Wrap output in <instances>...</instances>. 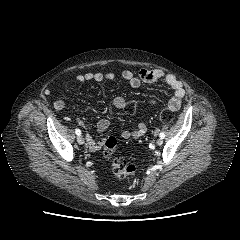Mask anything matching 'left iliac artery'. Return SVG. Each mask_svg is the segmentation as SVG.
Here are the masks:
<instances>
[{
    "mask_svg": "<svg viewBox=\"0 0 240 240\" xmlns=\"http://www.w3.org/2000/svg\"><path fill=\"white\" fill-rule=\"evenodd\" d=\"M159 136H160V138H164L165 137V134H164V132H161L160 134H159Z\"/></svg>",
    "mask_w": 240,
    "mask_h": 240,
    "instance_id": "left-iliac-artery-1",
    "label": "left iliac artery"
}]
</instances>
